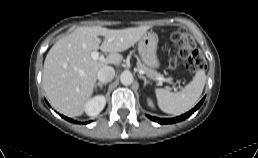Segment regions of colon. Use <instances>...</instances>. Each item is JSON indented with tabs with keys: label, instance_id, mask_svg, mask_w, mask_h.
Returning a JSON list of instances; mask_svg holds the SVG:
<instances>
[{
	"label": "colon",
	"instance_id": "5ec220e1",
	"mask_svg": "<svg viewBox=\"0 0 258 158\" xmlns=\"http://www.w3.org/2000/svg\"><path fill=\"white\" fill-rule=\"evenodd\" d=\"M171 39L177 46L174 63L183 62L192 73L206 68L205 58L196 50L195 42L187 32L182 29L176 30L172 33Z\"/></svg>",
	"mask_w": 258,
	"mask_h": 158
}]
</instances>
